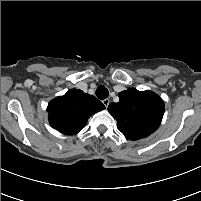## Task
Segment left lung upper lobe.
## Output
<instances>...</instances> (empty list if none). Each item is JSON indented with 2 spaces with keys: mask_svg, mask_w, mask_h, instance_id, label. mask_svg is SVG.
Returning a JSON list of instances; mask_svg holds the SVG:
<instances>
[{
  "mask_svg": "<svg viewBox=\"0 0 201 201\" xmlns=\"http://www.w3.org/2000/svg\"><path fill=\"white\" fill-rule=\"evenodd\" d=\"M119 98L118 103H110L108 111L117 120V128L127 139L145 138L159 127L164 103L157 94L130 88L120 92Z\"/></svg>",
  "mask_w": 201,
  "mask_h": 201,
  "instance_id": "obj_1",
  "label": "left lung upper lobe"
}]
</instances>
